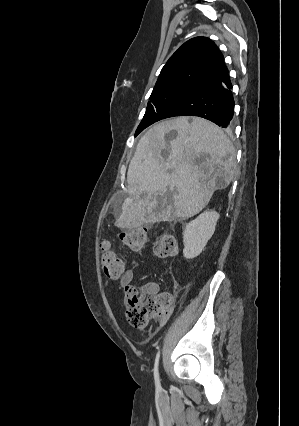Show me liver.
Wrapping results in <instances>:
<instances>
[{"label":"liver","mask_w":299,"mask_h":426,"mask_svg":"<svg viewBox=\"0 0 299 426\" xmlns=\"http://www.w3.org/2000/svg\"><path fill=\"white\" fill-rule=\"evenodd\" d=\"M172 130L177 137L167 139ZM234 177L235 151L221 128L200 117L162 121L136 146L127 172L129 196L115 225L133 229L190 218Z\"/></svg>","instance_id":"6515ba94"}]
</instances>
